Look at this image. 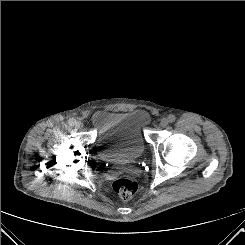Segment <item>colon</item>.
<instances>
[{"instance_id":"obj_1","label":"colon","mask_w":245,"mask_h":245,"mask_svg":"<svg viewBox=\"0 0 245 245\" xmlns=\"http://www.w3.org/2000/svg\"><path fill=\"white\" fill-rule=\"evenodd\" d=\"M113 189L123 200L132 198L137 190V180L131 175H122L113 182Z\"/></svg>"}]
</instances>
